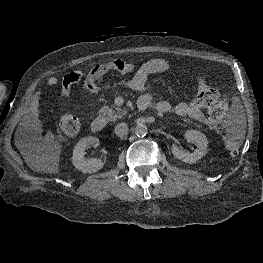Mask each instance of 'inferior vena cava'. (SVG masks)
Here are the masks:
<instances>
[{"mask_svg":"<svg viewBox=\"0 0 263 263\" xmlns=\"http://www.w3.org/2000/svg\"><path fill=\"white\" fill-rule=\"evenodd\" d=\"M128 125L126 123H119L115 126V134L119 137H124L128 134Z\"/></svg>","mask_w":263,"mask_h":263,"instance_id":"1","label":"inferior vena cava"}]
</instances>
